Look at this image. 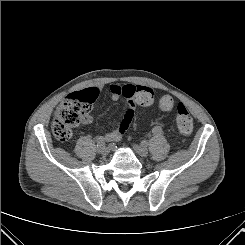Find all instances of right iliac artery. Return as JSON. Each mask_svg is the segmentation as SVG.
I'll use <instances>...</instances> for the list:
<instances>
[{"label": "right iliac artery", "mask_w": 245, "mask_h": 245, "mask_svg": "<svg viewBox=\"0 0 245 245\" xmlns=\"http://www.w3.org/2000/svg\"><path fill=\"white\" fill-rule=\"evenodd\" d=\"M97 147H99L103 151H108V148H110V143H105L104 140H99L97 143Z\"/></svg>", "instance_id": "1"}]
</instances>
